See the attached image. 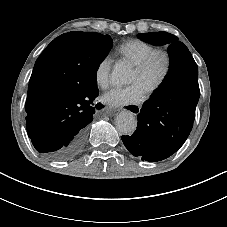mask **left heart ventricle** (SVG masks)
<instances>
[{
  "instance_id": "left-heart-ventricle-1",
  "label": "left heart ventricle",
  "mask_w": 227,
  "mask_h": 227,
  "mask_svg": "<svg viewBox=\"0 0 227 227\" xmlns=\"http://www.w3.org/2000/svg\"><path fill=\"white\" fill-rule=\"evenodd\" d=\"M161 70L162 61L156 60L145 75H138L133 71L130 83L140 84L142 87L147 88L158 79Z\"/></svg>"
}]
</instances>
